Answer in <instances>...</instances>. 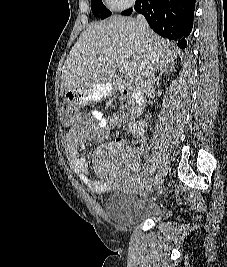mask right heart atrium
Listing matches in <instances>:
<instances>
[{"mask_svg": "<svg viewBox=\"0 0 227 267\" xmlns=\"http://www.w3.org/2000/svg\"><path fill=\"white\" fill-rule=\"evenodd\" d=\"M107 5L114 10H124L132 7L136 0H105Z\"/></svg>", "mask_w": 227, "mask_h": 267, "instance_id": "obj_1", "label": "right heart atrium"}]
</instances>
